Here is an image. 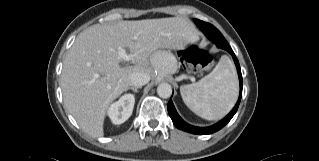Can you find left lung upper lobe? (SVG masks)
<instances>
[{
	"label": "left lung upper lobe",
	"instance_id": "obj_1",
	"mask_svg": "<svg viewBox=\"0 0 319 161\" xmlns=\"http://www.w3.org/2000/svg\"><path fill=\"white\" fill-rule=\"evenodd\" d=\"M194 22L196 23L197 26L200 24H203L206 29L212 31V34L214 35V38L208 37L211 41H213L218 47L222 48L223 45H227V41L223 37V35L220 33V31L215 28L213 25L203 22L198 19H194Z\"/></svg>",
	"mask_w": 319,
	"mask_h": 161
}]
</instances>
